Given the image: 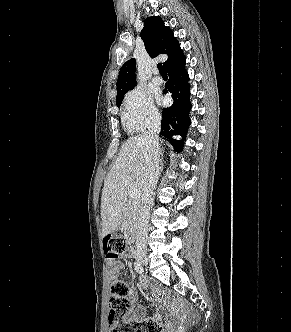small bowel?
I'll list each match as a JSON object with an SVG mask.
<instances>
[{"mask_svg":"<svg viewBox=\"0 0 291 332\" xmlns=\"http://www.w3.org/2000/svg\"><path fill=\"white\" fill-rule=\"evenodd\" d=\"M109 264H110V272H109L110 279L116 280L118 277V274L123 269V264L120 261H116L115 259L110 260ZM141 282L143 285L146 284L144 279H142ZM153 298L157 303H161L162 302V292L157 288L154 289ZM172 310H173L174 317L178 321L184 320V318H185L184 313L177 304L172 305ZM142 315H143V309L140 306L136 305L132 309L129 320L139 321L141 319ZM160 318L161 317L159 314H155L153 316L152 320L158 321V320H160Z\"/></svg>","mask_w":291,"mask_h":332,"instance_id":"1","label":"small bowel"}]
</instances>
